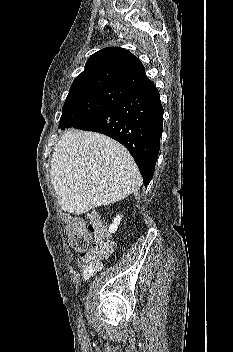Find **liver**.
<instances>
[{
  "label": "liver",
  "instance_id": "liver-1",
  "mask_svg": "<svg viewBox=\"0 0 233 352\" xmlns=\"http://www.w3.org/2000/svg\"><path fill=\"white\" fill-rule=\"evenodd\" d=\"M50 178L59 206L75 215L120 201L141 186L139 170L123 145L75 129L65 131L55 146Z\"/></svg>",
  "mask_w": 233,
  "mask_h": 352
}]
</instances>
